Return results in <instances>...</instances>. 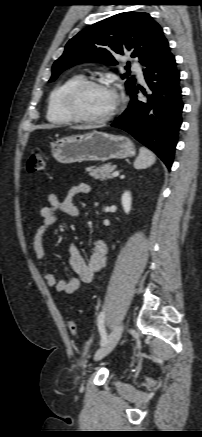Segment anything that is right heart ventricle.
I'll list each match as a JSON object with an SVG mask.
<instances>
[{
  "instance_id": "1",
  "label": "right heart ventricle",
  "mask_w": 202,
  "mask_h": 437,
  "mask_svg": "<svg viewBox=\"0 0 202 437\" xmlns=\"http://www.w3.org/2000/svg\"><path fill=\"white\" fill-rule=\"evenodd\" d=\"M82 75H73L60 83L50 93L47 103V119L53 124H69L74 120L70 118L63 108V98L71 86L82 80Z\"/></svg>"
}]
</instances>
